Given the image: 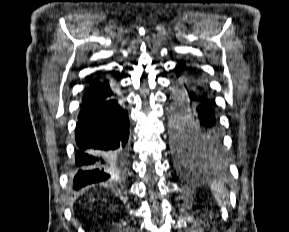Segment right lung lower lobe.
Returning <instances> with one entry per match:
<instances>
[{
    "label": "right lung lower lobe",
    "instance_id": "obj_1",
    "mask_svg": "<svg viewBox=\"0 0 289 232\" xmlns=\"http://www.w3.org/2000/svg\"><path fill=\"white\" fill-rule=\"evenodd\" d=\"M75 136L78 146L75 188L107 180V171L123 161L128 147V112L123 109L117 94L106 99L82 101Z\"/></svg>",
    "mask_w": 289,
    "mask_h": 232
}]
</instances>
